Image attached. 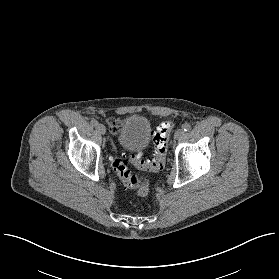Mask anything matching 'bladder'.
<instances>
[{
	"label": "bladder",
	"mask_w": 279,
	"mask_h": 279,
	"mask_svg": "<svg viewBox=\"0 0 279 279\" xmlns=\"http://www.w3.org/2000/svg\"><path fill=\"white\" fill-rule=\"evenodd\" d=\"M151 127L146 117L132 114L117 130L118 143L126 148L144 149L149 145Z\"/></svg>",
	"instance_id": "obj_1"
}]
</instances>
